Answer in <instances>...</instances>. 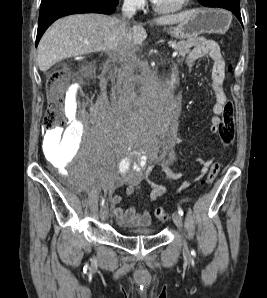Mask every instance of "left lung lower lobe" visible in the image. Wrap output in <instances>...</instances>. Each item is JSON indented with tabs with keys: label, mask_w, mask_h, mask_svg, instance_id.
Segmentation results:
<instances>
[{
	"label": "left lung lower lobe",
	"mask_w": 267,
	"mask_h": 298,
	"mask_svg": "<svg viewBox=\"0 0 267 298\" xmlns=\"http://www.w3.org/2000/svg\"><path fill=\"white\" fill-rule=\"evenodd\" d=\"M207 7H219L230 10L242 23L239 3H236L232 0H214L210 2L209 6Z\"/></svg>",
	"instance_id": "1"
}]
</instances>
